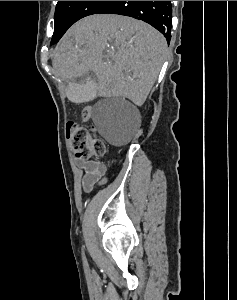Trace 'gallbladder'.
Segmentation results:
<instances>
[{"instance_id": "bac80fb5", "label": "gallbladder", "mask_w": 237, "mask_h": 300, "mask_svg": "<svg viewBox=\"0 0 237 300\" xmlns=\"http://www.w3.org/2000/svg\"><path fill=\"white\" fill-rule=\"evenodd\" d=\"M85 86L86 87H80L79 84H69L65 89L66 94H68V101H72L73 105H78L79 101L81 105H87L88 101H94V93L96 92L94 88L95 84L88 82Z\"/></svg>"}]
</instances>
